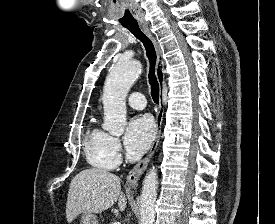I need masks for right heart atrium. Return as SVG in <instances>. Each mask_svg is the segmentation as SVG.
Instances as JSON below:
<instances>
[{"label": "right heart atrium", "mask_w": 275, "mask_h": 224, "mask_svg": "<svg viewBox=\"0 0 275 224\" xmlns=\"http://www.w3.org/2000/svg\"><path fill=\"white\" fill-rule=\"evenodd\" d=\"M111 145L113 150L119 154L121 152V144L118 138L116 137H111Z\"/></svg>", "instance_id": "obj_1"}]
</instances>
